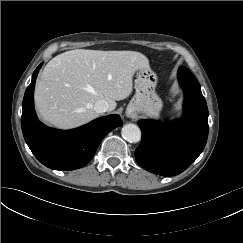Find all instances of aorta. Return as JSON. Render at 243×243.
I'll return each mask as SVG.
<instances>
[{"mask_svg": "<svg viewBox=\"0 0 243 243\" xmlns=\"http://www.w3.org/2000/svg\"><path fill=\"white\" fill-rule=\"evenodd\" d=\"M121 134L122 137L130 143H137L141 139L140 128L132 123L124 125Z\"/></svg>", "mask_w": 243, "mask_h": 243, "instance_id": "aorta-1", "label": "aorta"}]
</instances>
